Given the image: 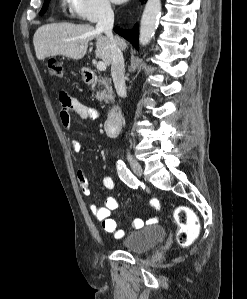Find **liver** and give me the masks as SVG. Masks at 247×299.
I'll list each match as a JSON object with an SVG mask.
<instances>
[{"label":"liver","instance_id":"6515ba94","mask_svg":"<svg viewBox=\"0 0 247 299\" xmlns=\"http://www.w3.org/2000/svg\"><path fill=\"white\" fill-rule=\"evenodd\" d=\"M96 40L95 54L106 65L111 64L110 41L102 31L89 24L52 23L39 27L34 34L33 44L38 60L62 55L74 60L82 59L91 40ZM120 49L126 48V43L115 38Z\"/></svg>","mask_w":247,"mask_h":299}]
</instances>
